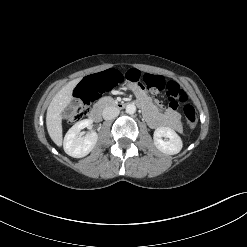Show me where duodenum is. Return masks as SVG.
I'll list each match as a JSON object with an SVG mask.
<instances>
[{"label":"duodenum","mask_w":247,"mask_h":247,"mask_svg":"<svg viewBox=\"0 0 247 247\" xmlns=\"http://www.w3.org/2000/svg\"><path fill=\"white\" fill-rule=\"evenodd\" d=\"M127 104L128 103L123 102V101H114L110 103L112 107L117 108V109H123ZM135 104L141 107L140 102L137 101ZM103 109H104V106L95 107L90 113V119L93 120L94 122H99L102 119Z\"/></svg>","instance_id":"410a0bca"}]
</instances>
